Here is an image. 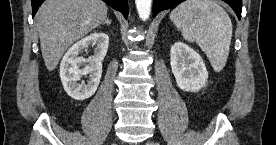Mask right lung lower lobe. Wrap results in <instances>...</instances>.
<instances>
[{"label": "right lung lower lobe", "mask_w": 276, "mask_h": 145, "mask_svg": "<svg viewBox=\"0 0 276 145\" xmlns=\"http://www.w3.org/2000/svg\"><path fill=\"white\" fill-rule=\"evenodd\" d=\"M44 0H31L32 4V17L36 14L39 6L42 4ZM112 8L117 11H120L125 18L128 16V3L127 0H102Z\"/></svg>", "instance_id": "98d812e1"}]
</instances>
